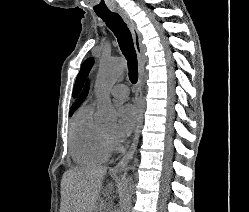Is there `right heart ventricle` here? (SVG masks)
<instances>
[{
	"mask_svg": "<svg viewBox=\"0 0 249 212\" xmlns=\"http://www.w3.org/2000/svg\"><path fill=\"white\" fill-rule=\"evenodd\" d=\"M91 104H84L74 114L69 133V151L79 165H95L107 159L100 127L95 123Z\"/></svg>",
	"mask_w": 249,
	"mask_h": 212,
	"instance_id": "e07e8e85",
	"label": "right heart ventricle"
}]
</instances>
